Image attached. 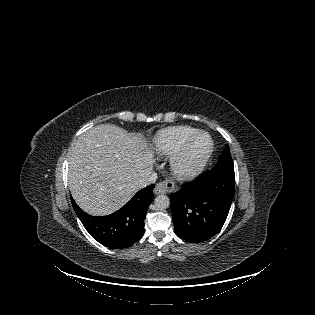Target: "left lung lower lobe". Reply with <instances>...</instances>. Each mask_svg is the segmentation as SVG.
I'll use <instances>...</instances> for the list:
<instances>
[{"label":"left lung lower lobe","instance_id":"1","mask_svg":"<svg viewBox=\"0 0 315 315\" xmlns=\"http://www.w3.org/2000/svg\"><path fill=\"white\" fill-rule=\"evenodd\" d=\"M235 191L234 171L213 169L170 197L176 235L192 243L203 242L217 234L230 210Z\"/></svg>","mask_w":315,"mask_h":315}]
</instances>
